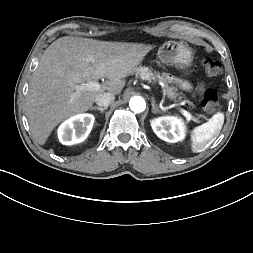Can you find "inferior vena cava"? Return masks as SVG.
I'll list each match as a JSON object with an SVG mask.
<instances>
[{
    "mask_svg": "<svg viewBox=\"0 0 253 253\" xmlns=\"http://www.w3.org/2000/svg\"><path fill=\"white\" fill-rule=\"evenodd\" d=\"M115 100V96L112 93L104 92L100 93L95 98V103L99 106L107 107L110 103Z\"/></svg>",
    "mask_w": 253,
    "mask_h": 253,
    "instance_id": "inferior-vena-cava-1",
    "label": "inferior vena cava"
}]
</instances>
